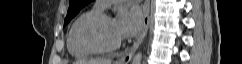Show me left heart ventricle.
Wrapping results in <instances>:
<instances>
[{"instance_id": "left-heart-ventricle-1", "label": "left heart ventricle", "mask_w": 242, "mask_h": 64, "mask_svg": "<svg viewBox=\"0 0 242 64\" xmlns=\"http://www.w3.org/2000/svg\"><path fill=\"white\" fill-rule=\"evenodd\" d=\"M95 38L104 45H111L119 40L115 33L114 20L105 19L94 31Z\"/></svg>"}]
</instances>
